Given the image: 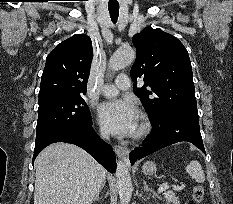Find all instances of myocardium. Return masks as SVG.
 Returning a JSON list of instances; mask_svg holds the SVG:
<instances>
[{
  "label": "myocardium",
  "instance_id": "obj_1",
  "mask_svg": "<svg viewBox=\"0 0 233 204\" xmlns=\"http://www.w3.org/2000/svg\"><path fill=\"white\" fill-rule=\"evenodd\" d=\"M138 128L133 133L134 140H142L148 136L151 131V123L148 116L144 113H139L138 115Z\"/></svg>",
  "mask_w": 233,
  "mask_h": 204
}]
</instances>
